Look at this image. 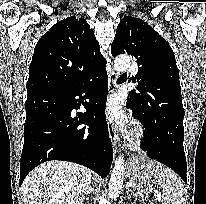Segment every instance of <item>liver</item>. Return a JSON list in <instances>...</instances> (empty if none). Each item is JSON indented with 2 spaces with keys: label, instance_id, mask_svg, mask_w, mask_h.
<instances>
[{
  "label": "liver",
  "instance_id": "6515ba94",
  "mask_svg": "<svg viewBox=\"0 0 206 204\" xmlns=\"http://www.w3.org/2000/svg\"><path fill=\"white\" fill-rule=\"evenodd\" d=\"M92 179L82 165L48 161L30 172L21 191L25 204H82Z\"/></svg>",
  "mask_w": 206,
  "mask_h": 204
}]
</instances>
